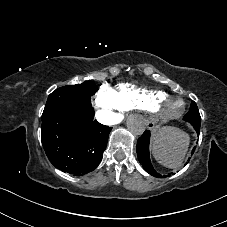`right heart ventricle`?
<instances>
[{
    "mask_svg": "<svg viewBox=\"0 0 227 227\" xmlns=\"http://www.w3.org/2000/svg\"><path fill=\"white\" fill-rule=\"evenodd\" d=\"M123 111H145L158 99L169 96L165 91L136 86L132 83H120L113 89Z\"/></svg>",
    "mask_w": 227,
    "mask_h": 227,
    "instance_id": "obj_1",
    "label": "right heart ventricle"
}]
</instances>
